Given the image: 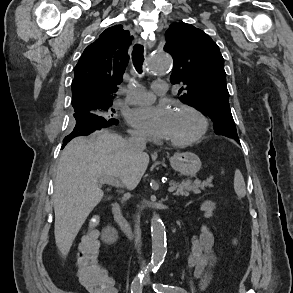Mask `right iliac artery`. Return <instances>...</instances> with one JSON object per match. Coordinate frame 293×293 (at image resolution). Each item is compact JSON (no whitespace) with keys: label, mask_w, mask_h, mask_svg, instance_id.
Instances as JSON below:
<instances>
[{"label":"right iliac artery","mask_w":293,"mask_h":293,"mask_svg":"<svg viewBox=\"0 0 293 293\" xmlns=\"http://www.w3.org/2000/svg\"><path fill=\"white\" fill-rule=\"evenodd\" d=\"M147 269L141 271L132 281L131 293H142V280Z\"/></svg>","instance_id":"right-iliac-artery-1"}]
</instances>
